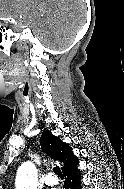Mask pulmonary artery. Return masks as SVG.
<instances>
[{
	"mask_svg": "<svg viewBox=\"0 0 124 189\" xmlns=\"http://www.w3.org/2000/svg\"><path fill=\"white\" fill-rule=\"evenodd\" d=\"M44 182L48 186H55V185L58 184L59 180H58V178L54 174L49 173L44 178Z\"/></svg>",
	"mask_w": 124,
	"mask_h": 189,
	"instance_id": "1",
	"label": "pulmonary artery"
}]
</instances>
